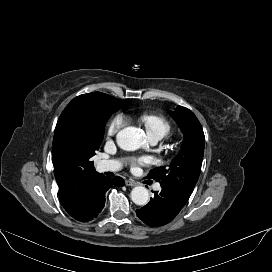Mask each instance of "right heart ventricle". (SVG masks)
Listing matches in <instances>:
<instances>
[{"label":"right heart ventricle","mask_w":272,"mask_h":272,"mask_svg":"<svg viewBox=\"0 0 272 272\" xmlns=\"http://www.w3.org/2000/svg\"><path fill=\"white\" fill-rule=\"evenodd\" d=\"M142 120L148 131V135H161L163 137L171 130L170 123L161 116L146 114L142 117Z\"/></svg>","instance_id":"1"}]
</instances>
